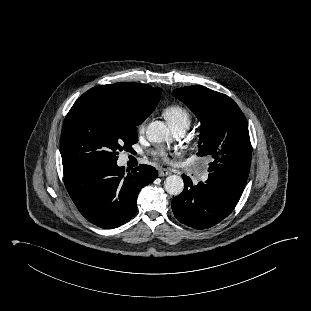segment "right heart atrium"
Masks as SVG:
<instances>
[{
    "instance_id": "obj_1",
    "label": "right heart atrium",
    "mask_w": 311,
    "mask_h": 311,
    "mask_svg": "<svg viewBox=\"0 0 311 311\" xmlns=\"http://www.w3.org/2000/svg\"><path fill=\"white\" fill-rule=\"evenodd\" d=\"M145 129V121H142L139 125H138V131L139 132H143Z\"/></svg>"
}]
</instances>
